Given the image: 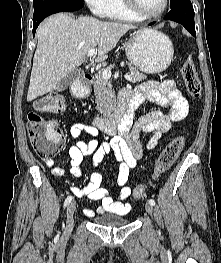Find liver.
Returning <instances> with one entry per match:
<instances>
[{"mask_svg": "<svg viewBox=\"0 0 221 263\" xmlns=\"http://www.w3.org/2000/svg\"><path fill=\"white\" fill-rule=\"evenodd\" d=\"M134 25L101 21L90 16L75 19L58 13L37 30L38 44L33 58L27 101L51 92L98 47L96 61H104L119 39ZM147 30V29H143Z\"/></svg>", "mask_w": 221, "mask_h": 263, "instance_id": "1", "label": "liver"}]
</instances>
